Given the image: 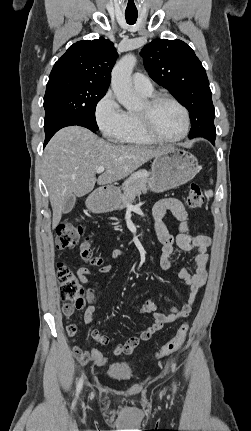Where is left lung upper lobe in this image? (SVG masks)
Wrapping results in <instances>:
<instances>
[{
  "mask_svg": "<svg viewBox=\"0 0 251 431\" xmlns=\"http://www.w3.org/2000/svg\"><path fill=\"white\" fill-rule=\"evenodd\" d=\"M140 54L150 77L188 109L189 137L201 136L215 144V109L209 81L194 51L181 40L155 39Z\"/></svg>",
  "mask_w": 251,
  "mask_h": 431,
  "instance_id": "left-lung-upper-lobe-1",
  "label": "left lung upper lobe"
}]
</instances>
